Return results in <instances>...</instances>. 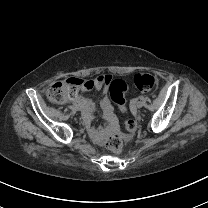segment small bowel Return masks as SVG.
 <instances>
[{"mask_svg":"<svg viewBox=\"0 0 208 208\" xmlns=\"http://www.w3.org/2000/svg\"><path fill=\"white\" fill-rule=\"evenodd\" d=\"M92 89H96L102 92V110L106 123L103 127H100V132H95L94 129L89 128L86 130L85 135L91 139L94 143H100L107 140L108 136L114 132L117 126V120L113 113L112 107L107 97V85L104 83H97ZM73 102L83 108V115L85 116L83 123L85 126L90 127L93 125V111L92 105L88 98L76 95L73 98Z\"/></svg>","mask_w":208,"mask_h":208,"instance_id":"small-bowel-1","label":"small bowel"}]
</instances>
